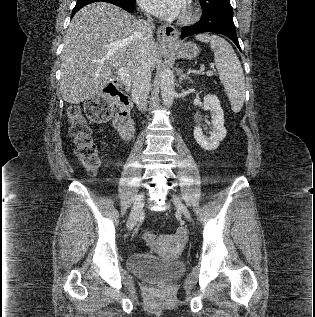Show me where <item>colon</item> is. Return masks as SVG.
<instances>
[{
	"label": "colon",
	"mask_w": 315,
	"mask_h": 317,
	"mask_svg": "<svg viewBox=\"0 0 315 317\" xmlns=\"http://www.w3.org/2000/svg\"><path fill=\"white\" fill-rule=\"evenodd\" d=\"M114 98L115 91L104 90L103 93L93 96L85 103L84 113L76 106L68 110L70 134L76 143V153L89 174L97 172L100 167V157L86 117L100 122L108 120L113 113ZM142 239L151 245L155 241V234L150 229H143Z\"/></svg>",
	"instance_id": "1"
}]
</instances>
